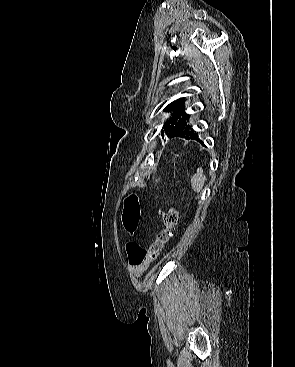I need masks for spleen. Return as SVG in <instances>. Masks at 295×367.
<instances>
[{
  "instance_id": "1",
  "label": "spleen",
  "mask_w": 295,
  "mask_h": 367,
  "mask_svg": "<svg viewBox=\"0 0 295 367\" xmlns=\"http://www.w3.org/2000/svg\"><path fill=\"white\" fill-rule=\"evenodd\" d=\"M206 176L204 175L203 169L200 167L197 169V173L191 178V185L194 191L200 192L202 189Z\"/></svg>"
}]
</instances>
